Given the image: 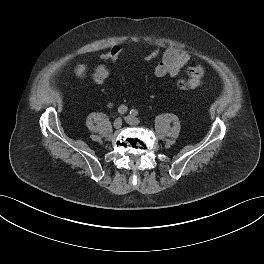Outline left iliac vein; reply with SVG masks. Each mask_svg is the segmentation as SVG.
<instances>
[{
    "label": "left iliac vein",
    "mask_w": 264,
    "mask_h": 264,
    "mask_svg": "<svg viewBox=\"0 0 264 264\" xmlns=\"http://www.w3.org/2000/svg\"><path fill=\"white\" fill-rule=\"evenodd\" d=\"M125 120L130 125H137L140 122L138 118L133 116H126Z\"/></svg>",
    "instance_id": "1"
}]
</instances>
